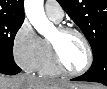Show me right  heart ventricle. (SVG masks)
I'll return each instance as SVG.
<instances>
[{
    "label": "right heart ventricle",
    "instance_id": "right-heart-ventricle-1",
    "mask_svg": "<svg viewBox=\"0 0 107 89\" xmlns=\"http://www.w3.org/2000/svg\"><path fill=\"white\" fill-rule=\"evenodd\" d=\"M37 71L43 76H57L61 74L54 64L49 40L47 39H43V55Z\"/></svg>",
    "mask_w": 107,
    "mask_h": 89
}]
</instances>
